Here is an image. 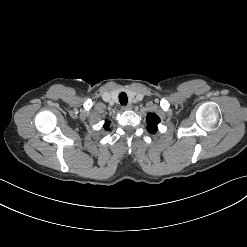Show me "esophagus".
Wrapping results in <instances>:
<instances>
[{
	"mask_svg": "<svg viewBox=\"0 0 247 247\" xmlns=\"http://www.w3.org/2000/svg\"><path fill=\"white\" fill-rule=\"evenodd\" d=\"M131 105L130 104H128V105H124V106H122V110H129V109H131Z\"/></svg>",
	"mask_w": 247,
	"mask_h": 247,
	"instance_id": "34e87169",
	"label": "esophagus"
}]
</instances>
